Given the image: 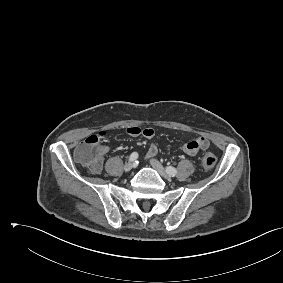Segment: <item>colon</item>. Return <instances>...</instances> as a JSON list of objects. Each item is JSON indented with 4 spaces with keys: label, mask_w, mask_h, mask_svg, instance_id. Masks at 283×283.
Wrapping results in <instances>:
<instances>
[{
    "label": "colon",
    "mask_w": 283,
    "mask_h": 283,
    "mask_svg": "<svg viewBox=\"0 0 283 283\" xmlns=\"http://www.w3.org/2000/svg\"><path fill=\"white\" fill-rule=\"evenodd\" d=\"M104 133L93 134L85 139L75 150V158L92 171L100 167L102 156L101 140ZM216 164V156L212 152H205L201 157L204 169H211Z\"/></svg>",
    "instance_id": "colon-1"
}]
</instances>
